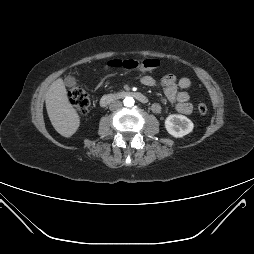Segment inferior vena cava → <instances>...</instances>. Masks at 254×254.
Instances as JSON below:
<instances>
[{"instance_id":"obj_1","label":"inferior vena cava","mask_w":254,"mask_h":254,"mask_svg":"<svg viewBox=\"0 0 254 254\" xmlns=\"http://www.w3.org/2000/svg\"><path fill=\"white\" fill-rule=\"evenodd\" d=\"M121 107H122V103H121L120 101H113V102L110 104V106H109V108H110L111 111L118 110V109H120Z\"/></svg>"}]
</instances>
